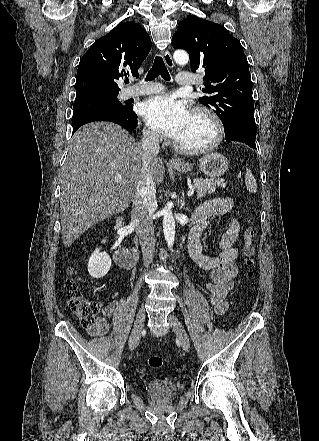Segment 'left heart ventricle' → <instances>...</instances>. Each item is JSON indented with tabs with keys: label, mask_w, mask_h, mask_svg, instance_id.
Instances as JSON below:
<instances>
[{
	"label": "left heart ventricle",
	"mask_w": 319,
	"mask_h": 441,
	"mask_svg": "<svg viewBox=\"0 0 319 441\" xmlns=\"http://www.w3.org/2000/svg\"><path fill=\"white\" fill-rule=\"evenodd\" d=\"M213 137V127L203 116L191 115L190 121L182 134L176 139L185 146H200L209 142Z\"/></svg>",
	"instance_id": "1"
}]
</instances>
